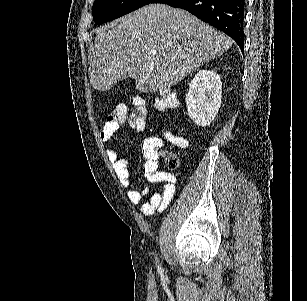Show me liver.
I'll return each mask as SVG.
<instances>
[{"mask_svg":"<svg viewBox=\"0 0 307 301\" xmlns=\"http://www.w3.org/2000/svg\"><path fill=\"white\" fill-rule=\"evenodd\" d=\"M231 44L232 38L183 8L146 4L98 28L89 52L90 82L97 90H109L131 76L139 92H157Z\"/></svg>","mask_w":307,"mask_h":301,"instance_id":"1","label":"liver"}]
</instances>
